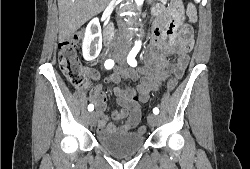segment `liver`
I'll return each instance as SVG.
<instances>
[{"label": "liver", "instance_id": "obj_1", "mask_svg": "<svg viewBox=\"0 0 250 169\" xmlns=\"http://www.w3.org/2000/svg\"><path fill=\"white\" fill-rule=\"evenodd\" d=\"M110 0H58L59 40H66L94 14L102 12Z\"/></svg>", "mask_w": 250, "mask_h": 169}]
</instances>
